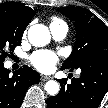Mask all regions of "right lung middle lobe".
Masks as SVG:
<instances>
[{
  "mask_svg": "<svg viewBox=\"0 0 108 108\" xmlns=\"http://www.w3.org/2000/svg\"><path fill=\"white\" fill-rule=\"evenodd\" d=\"M24 30L14 14L0 11V62L8 56L6 49L13 51L20 45Z\"/></svg>",
  "mask_w": 108,
  "mask_h": 108,
  "instance_id": "right-lung-middle-lobe-1",
  "label": "right lung middle lobe"
}]
</instances>
